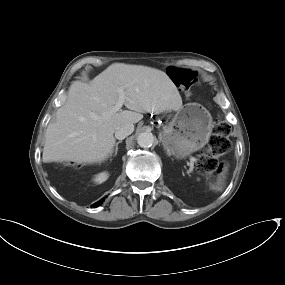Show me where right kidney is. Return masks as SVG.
<instances>
[{"label": "right kidney", "instance_id": "right-kidney-1", "mask_svg": "<svg viewBox=\"0 0 285 285\" xmlns=\"http://www.w3.org/2000/svg\"><path fill=\"white\" fill-rule=\"evenodd\" d=\"M107 179H108V173L101 172L95 176L94 181L100 184L106 181Z\"/></svg>", "mask_w": 285, "mask_h": 285}]
</instances>
